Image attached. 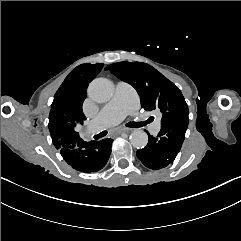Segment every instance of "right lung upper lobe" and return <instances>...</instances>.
I'll use <instances>...</instances> for the list:
<instances>
[{"label":"right lung upper lobe","mask_w":241,"mask_h":241,"mask_svg":"<svg viewBox=\"0 0 241 241\" xmlns=\"http://www.w3.org/2000/svg\"><path fill=\"white\" fill-rule=\"evenodd\" d=\"M86 89L70 88L64 81L54 95L48 127L57 149L80 139L76 126L86 120L82 111Z\"/></svg>","instance_id":"cb5924a9"}]
</instances>
